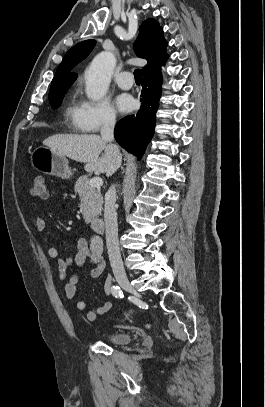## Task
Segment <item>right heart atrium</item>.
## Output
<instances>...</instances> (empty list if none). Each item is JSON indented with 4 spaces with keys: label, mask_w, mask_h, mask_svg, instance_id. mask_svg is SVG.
Returning a JSON list of instances; mask_svg holds the SVG:
<instances>
[{
    "label": "right heart atrium",
    "mask_w": 265,
    "mask_h": 407,
    "mask_svg": "<svg viewBox=\"0 0 265 407\" xmlns=\"http://www.w3.org/2000/svg\"><path fill=\"white\" fill-rule=\"evenodd\" d=\"M79 121L90 132L113 127L117 122L114 109L107 101L82 100L79 104Z\"/></svg>",
    "instance_id": "d8ad5b80"
}]
</instances>
